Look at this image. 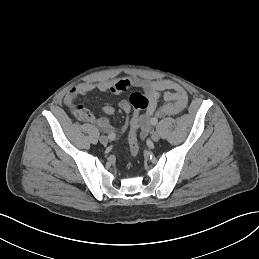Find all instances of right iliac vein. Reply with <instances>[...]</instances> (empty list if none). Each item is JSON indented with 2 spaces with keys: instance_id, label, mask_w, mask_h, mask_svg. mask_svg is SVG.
<instances>
[{
  "instance_id": "1",
  "label": "right iliac vein",
  "mask_w": 259,
  "mask_h": 259,
  "mask_svg": "<svg viewBox=\"0 0 259 259\" xmlns=\"http://www.w3.org/2000/svg\"><path fill=\"white\" fill-rule=\"evenodd\" d=\"M99 140L100 143L103 145H106L108 143V138L106 136H101Z\"/></svg>"
}]
</instances>
